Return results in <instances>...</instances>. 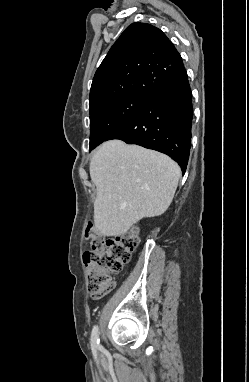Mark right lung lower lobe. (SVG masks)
I'll return each mask as SVG.
<instances>
[{
	"label": "right lung lower lobe",
	"mask_w": 249,
	"mask_h": 382,
	"mask_svg": "<svg viewBox=\"0 0 249 382\" xmlns=\"http://www.w3.org/2000/svg\"><path fill=\"white\" fill-rule=\"evenodd\" d=\"M192 119V94L184 70L154 92L139 113L107 140L119 139L167 154L178 162L184 174L191 148Z\"/></svg>",
	"instance_id": "right-lung-lower-lobe-1"
}]
</instances>
